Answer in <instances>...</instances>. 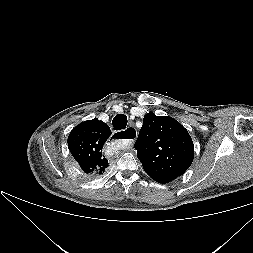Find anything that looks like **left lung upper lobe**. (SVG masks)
Masks as SVG:
<instances>
[{
    "instance_id": "5c2ea615",
    "label": "left lung upper lobe",
    "mask_w": 253,
    "mask_h": 253,
    "mask_svg": "<svg viewBox=\"0 0 253 253\" xmlns=\"http://www.w3.org/2000/svg\"><path fill=\"white\" fill-rule=\"evenodd\" d=\"M145 172L165 184L185 173L194 158L188 131L175 119L148 113L134 145Z\"/></svg>"
}]
</instances>
